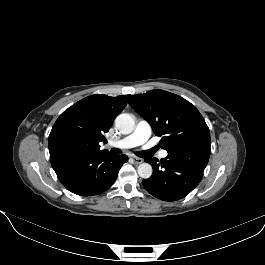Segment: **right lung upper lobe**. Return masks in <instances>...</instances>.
Instances as JSON below:
<instances>
[{"label": "right lung upper lobe", "mask_w": 265, "mask_h": 265, "mask_svg": "<svg viewBox=\"0 0 265 265\" xmlns=\"http://www.w3.org/2000/svg\"><path fill=\"white\" fill-rule=\"evenodd\" d=\"M129 97L96 94L66 109L49 135L50 159L107 152L99 149V142L106 141L103 133L109 131Z\"/></svg>", "instance_id": "right-lung-upper-lobe-1"}]
</instances>
